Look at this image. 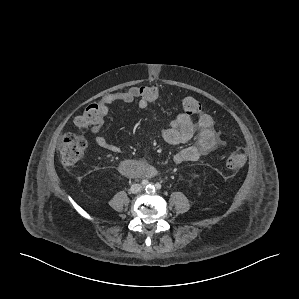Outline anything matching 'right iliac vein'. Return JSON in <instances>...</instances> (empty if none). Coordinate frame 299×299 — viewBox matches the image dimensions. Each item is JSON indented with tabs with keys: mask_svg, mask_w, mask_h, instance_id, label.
<instances>
[{
	"mask_svg": "<svg viewBox=\"0 0 299 299\" xmlns=\"http://www.w3.org/2000/svg\"><path fill=\"white\" fill-rule=\"evenodd\" d=\"M142 187L139 184H135L131 187V192L137 194L141 191Z\"/></svg>",
	"mask_w": 299,
	"mask_h": 299,
	"instance_id": "63e3f726",
	"label": "right iliac vein"
}]
</instances>
